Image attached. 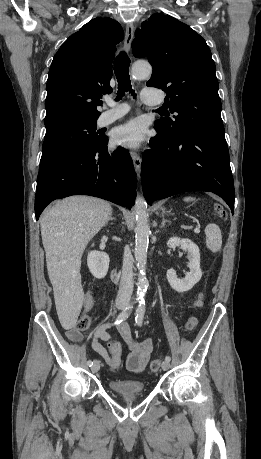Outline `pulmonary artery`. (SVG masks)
<instances>
[{
	"label": "pulmonary artery",
	"instance_id": "pulmonary-artery-1",
	"mask_svg": "<svg viewBox=\"0 0 261 459\" xmlns=\"http://www.w3.org/2000/svg\"><path fill=\"white\" fill-rule=\"evenodd\" d=\"M141 99L147 105H158L161 103V99L158 94L149 88L142 90ZM106 104L110 107V109L100 115L98 119V124L100 126L109 125L123 117L128 112V106L126 104H119L110 99L106 101Z\"/></svg>",
	"mask_w": 261,
	"mask_h": 459
}]
</instances>
